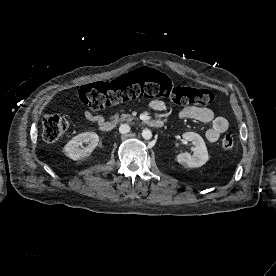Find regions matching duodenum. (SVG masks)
Listing matches in <instances>:
<instances>
[{"label": "duodenum", "instance_id": "1", "mask_svg": "<svg viewBox=\"0 0 276 276\" xmlns=\"http://www.w3.org/2000/svg\"><path fill=\"white\" fill-rule=\"evenodd\" d=\"M145 122L148 126L154 128H161L164 125L163 121L159 119H147ZM114 128L115 123L112 121H105L100 125V130L105 133L111 132Z\"/></svg>", "mask_w": 276, "mask_h": 276}]
</instances>
